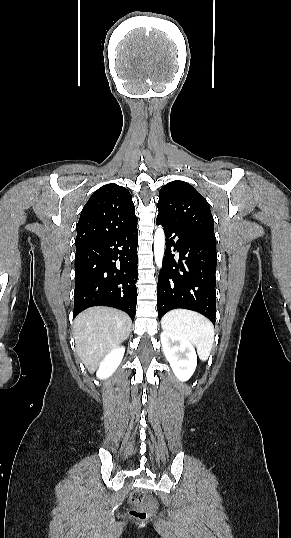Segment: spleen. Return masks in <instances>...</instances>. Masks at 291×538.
Here are the masks:
<instances>
[{"label": "spleen", "instance_id": "obj_1", "mask_svg": "<svg viewBox=\"0 0 291 538\" xmlns=\"http://www.w3.org/2000/svg\"><path fill=\"white\" fill-rule=\"evenodd\" d=\"M161 326L164 331L189 339L196 346L200 359H208L215 332L213 324L206 317L194 311L174 309L162 317Z\"/></svg>", "mask_w": 291, "mask_h": 538}]
</instances>
